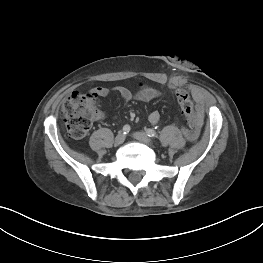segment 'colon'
I'll use <instances>...</instances> for the list:
<instances>
[{
    "label": "colon",
    "mask_w": 263,
    "mask_h": 263,
    "mask_svg": "<svg viewBox=\"0 0 263 263\" xmlns=\"http://www.w3.org/2000/svg\"><path fill=\"white\" fill-rule=\"evenodd\" d=\"M175 95L186 123L194 133L199 122L190 95L182 88H176ZM96 113L97 95L93 91L88 93L74 92L63 104L61 110L67 134L75 139L84 137L91 128Z\"/></svg>",
    "instance_id": "colon-1"
}]
</instances>
